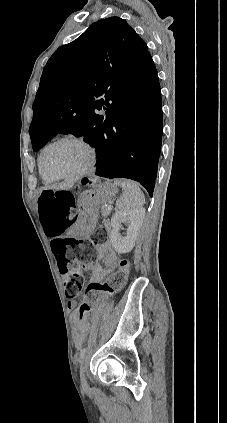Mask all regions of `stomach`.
Masks as SVG:
<instances>
[{"mask_svg":"<svg viewBox=\"0 0 227 423\" xmlns=\"http://www.w3.org/2000/svg\"><path fill=\"white\" fill-rule=\"evenodd\" d=\"M115 194H117V188L112 186L110 182H104V184H97L93 190L83 192L82 200L88 202V204H93V206H98V204L111 202Z\"/></svg>","mask_w":227,"mask_h":423,"instance_id":"obj_1","label":"stomach"}]
</instances>
